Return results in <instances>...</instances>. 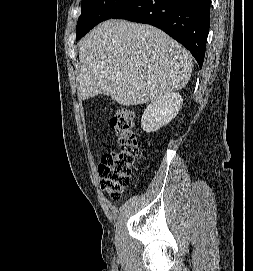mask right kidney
I'll list each match as a JSON object with an SVG mask.
<instances>
[{
    "instance_id": "right-kidney-1",
    "label": "right kidney",
    "mask_w": 253,
    "mask_h": 271,
    "mask_svg": "<svg viewBox=\"0 0 253 271\" xmlns=\"http://www.w3.org/2000/svg\"><path fill=\"white\" fill-rule=\"evenodd\" d=\"M183 104L179 93H169L152 101L145 109L141 127L146 132H155L176 117Z\"/></svg>"
}]
</instances>
